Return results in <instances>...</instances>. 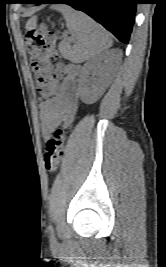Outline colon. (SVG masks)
I'll use <instances>...</instances> for the list:
<instances>
[{
    "label": "colon",
    "mask_w": 166,
    "mask_h": 267,
    "mask_svg": "<svg viewBox=\"0 0 166 267\" xmlns=\"http://www.w3.org/2000/svg\"><path fill=\"white\" fill-rule=\"evenodd\" d=\"M61 37L57 30L48 29L40 24L28 30L25 37L30 65L36 74L37 90L43 101H49L54 94L59 75L52 70V62L58 58L56 43ZM66 133L62 128L55 130L47 141L44 152V166L48 172H54L64 155Z\"/></svg>",
    "instance_id": "5ec220e1"
}]
</instances>
